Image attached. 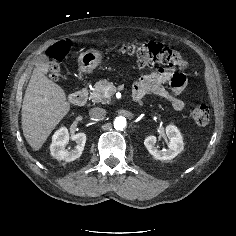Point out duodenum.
<instances>
[{"label": "duodenum", "instance_id": "duodenum-1", "mask_svg": "<svg viewBox=\"0 0 236 236\" xmlns=\"http://www.w3.org/2000/svg\"><path fill=\"white\" fill-rule=\"evenodd\" d=\"M139 98L138 97H134V101L136 102ZM69 101L71 104L75 105V106H82L86 103L87 101V86L83 85L81 86L79 89H77L76 91H74L70 97H69Z\"/></svg>", "mask_w": 236, "mask_h": 236}]
</instances>
